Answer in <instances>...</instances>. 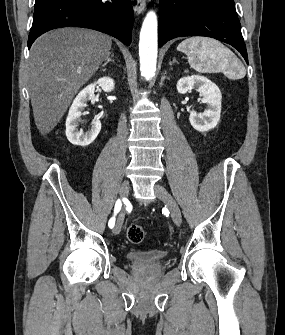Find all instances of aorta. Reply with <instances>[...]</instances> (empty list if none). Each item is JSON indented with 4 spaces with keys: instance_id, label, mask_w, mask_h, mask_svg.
<instances>
[{
    "instance_id": "aorta-1",
    "label": "aorta",
    "mask_w": 285,
    "mask_h": 335,
    "mask_svg": "<svg viewBox=\"0 0 285 335\" xmlns=\"http://www.w3.org/2000/svg\"><path fill=\"white\" fill-rule=\"evenodd\" d=\"M157 44V16L155 12H149L142 24L139 42L140 72L145 80L155 76Z\"/></svg>"
}]
</instances>
